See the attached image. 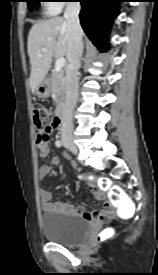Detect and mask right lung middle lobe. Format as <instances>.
Masks as SVG:
<instances>
[{"mask_svg": "<svg viewBox=\"0 0 158 275\" xmlns=\"http://www.w3.org/2000/svg\"><path fill=\"white\" fill-rule=\"evenodd\" d=\"M28 7L30 10L38 8L40 5V0H27Z\"/></svg>", "mask_w": 158, "mask_h": 275, "instance_id": "obj_1", "label": "right lung middle lobe"}]
</instances>
